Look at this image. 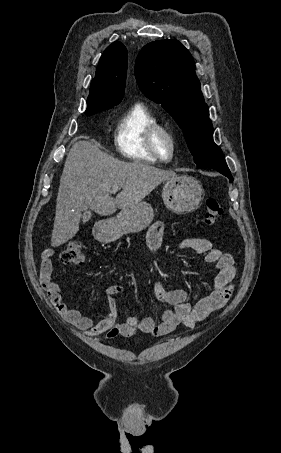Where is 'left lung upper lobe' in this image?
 <instances>
[{"label": "left lung upper lobe", "mask_w": 281, "mask_h": 453, "mask_svg": "<svg viewBox=\"0 0 281 453\" xmlns=\"http://www.w3.org/2000/svg\"><path fill=\"white\" fill-rule=\"evenodd\" d=\"M135 75L145 96L161 104L183 130L197 167L227 169L213 141L209 108L189 51L177 40L151 42L137 56Z\"/></svg>", "instance_id": "left-lung-upper-lobe-1"}]
</instances>
